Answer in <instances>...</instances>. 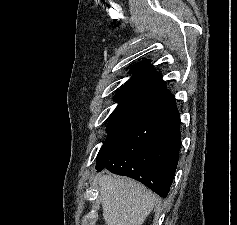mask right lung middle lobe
Wrapping results in <instances>:
<instances>
[{
  "instance_id": "obj_1",
  "label": "right lung middle lobe",
  "mask_w": 237,
  "mask_h": 225,
  "mask_svg": "<svg viewBox=\"0 0 237 225\" xmlns=\"http://www.w3.org/2000/svg\"><path fill=\"white\" fill-rule=\"evenodd\" d=\"M123 123L121 122H116V121H110L108 126H107V131L110 133H112L115 129H117L118 127H120Z\"/></svg>"
}]
</instances>
